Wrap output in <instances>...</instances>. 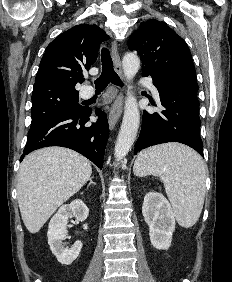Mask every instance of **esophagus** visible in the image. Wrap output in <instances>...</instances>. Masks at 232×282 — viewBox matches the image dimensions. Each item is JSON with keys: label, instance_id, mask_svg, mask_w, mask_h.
<instances>
[{"label": "esophagus", "instance_id": "1", "mask_svg": "<svg viewBox=\"0 0 232 282\" xmlns=\"http://www.w3.org/2000/svg\"><path fill=\"white\" fill-rule=\"evenodd\" d=\"M111 54H112L115 70L119 75H121L122 74L121 61L118 53V44L116 41L112 42ZM112 95L114 102L109 110V116H108V123L110 130H113L114 127L116 126L123 109V93L121 91L117 92V90L114 89Z\"/></svg>", "mask_w": 232, "mask_h": 282}]
</instances>
